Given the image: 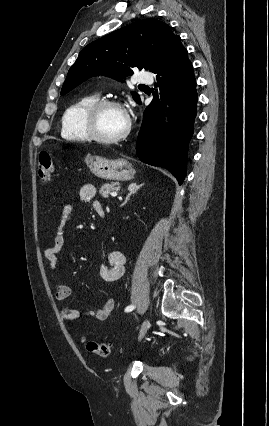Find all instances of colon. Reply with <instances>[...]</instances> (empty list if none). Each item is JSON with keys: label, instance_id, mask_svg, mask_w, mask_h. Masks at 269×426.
<instances>
[{"label": "colon", "instance_id": "colon-1", "mask_svg": "<svg viewBox=\"0 0 269 426\" xmlns=\"http://www.w3.org/2000/svg\"><path fill=\"white\" fill-rule=\"evenodd\" d=\"M38 173L42 181L49 182L54 173L53 156L50 152H42L39 155ZM86 349L89 353L106 357L111 353V345L109 343H99L96 341L86 340L82 338Z\"/></svg>", "mask_w": 269, "mask_h": 426}]
</instances>
